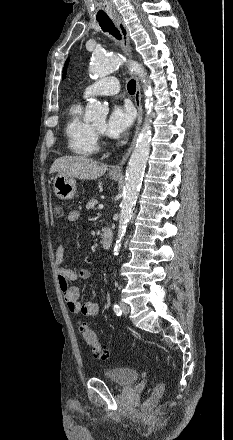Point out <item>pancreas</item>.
Masks as SVG:
<instances>
[{
    "mask_svg": "<svg viewBox=\"0 0 233 440\" xmlns=\"http://www.w3.org/2000/svg\"><path fill=\"white\" fill-rule=\"evenodd\" d=\"M98 201L96 199H91L89 200V202L86 205V209L90 210V209H94L95 206L97 205Z\"/></svg>",
    "mask_w": 233,
    "mask_h": 440,
    "instance_id": "obj_1",
    "label": "pancreas"
}]
</instances>
